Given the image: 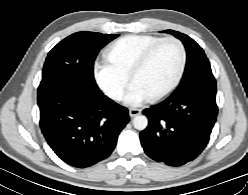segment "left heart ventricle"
<instances>
[{"label": "left heart ventricle", "mask_w": 248, "mask_h": 195, "mask_svg": "<svg viewBox=\"0 0 248 195\" xmlns=\"http://www.w3.org/2000/svg\"><path fill=\"white\" fill-rule=\"evenodd\" d=\"M181 62V50L177 44L169 45L159 62L142 79L141 84L149 93L164 89L174 78Z\"/></svg>", "instance_id": "left-heart-ventricle-1"}]
</instances>
